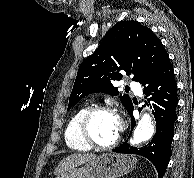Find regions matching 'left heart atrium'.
<instances>
[{
  "label": "left heart atrium",
  "instance_id": "obj_1",
  "mask_svg": "<svg viewBox=\"0 0 194 178\" xmlns=\"http://www.w3.org/2000/svg\"><path fill=\"white\" fill-rule=\"evenodd\" d=\"M117 127H118V130L120 131L121 128H122V122L121 120L117 117Z\"/></svg>",
  "mask_w": 194,
  "mask_h": 178
}]
</instances>
